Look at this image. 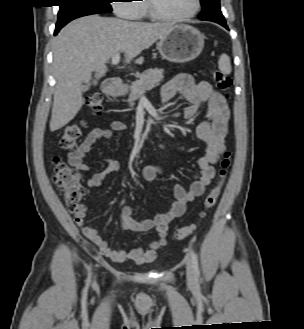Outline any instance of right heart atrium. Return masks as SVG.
Returning a JSON list of instances; mask_svg holds the SVG:
<instances>
[{"label": "right heart atrium", "instance_id": "1", "mask_svg": "<svg viewBox=\"0 0 304 329\" xmlns=\"http://www.w3.org/2000/svg\"><path fill=\"white\" fill-rule=\"evenodd\" d=\"M136 0H114L113 9L117 16L125 19H137L139 18V8Z\"/></svg>", "mask_w": 304, "mask_h": 329}]
</instances>
